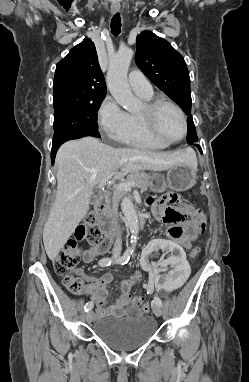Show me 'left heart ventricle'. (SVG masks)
Segmentation results:
<instances>
[{
    "label": "left heart ventricle",
    "instance_id": "b2bd125f",
    "mask_svg": "<svg viewBox=\"0 0 249 382\" xmlns=\"http://www.w3.org/2000/svg\"><path fill=\"white\" fill-rule=\"evenodd\" d=\"M144 110H141V112ZM140 112V113H141ZM160 132L167 138L177 139L183 134V123L178 112L167 105L161 106L156 115Z\"/></svg>",
    "mask_w": 249,
    "mask_h": 382
}]
</instances>
